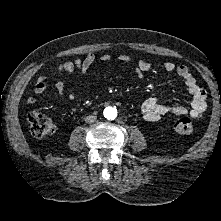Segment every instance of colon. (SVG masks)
I'll use <instances>...</instances> for the list:
<instances>
[{
  "label": "colon",
  "mask_w": 221,
  "mask_h": 221,
  "mask_svg": "<svg viewBox=\"0 0 221 221\" xmlns=\"http://www.w3.org/2000/svg\"><path fill=\"white\" fill-rule=\"evenodd\" d=\"M28 122L31 132L36 137H44L55 132L56 124L47 115L41 112H31L28 115ZM192 121L189 118L178 119L174 124V129L180 134H189L192 131Z\"/></svg>",
  "instance_id": "5ec220e1"
}]
</instances>
